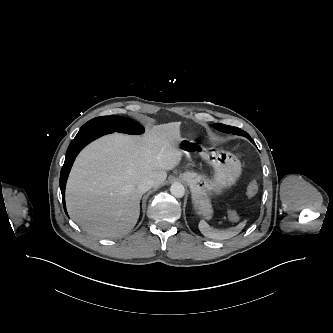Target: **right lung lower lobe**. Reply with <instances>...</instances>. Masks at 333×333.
Here are the masks:
<instances>
[{"instance_id": "98d812e1", "label": "right lung lower lobe", "mask_w": 333, "mask_h": 333, "mask_svg": "<svg viewBox=\"0 0 333 333\" xmlns=\"http://www.w3.org/2000/svg\"><path fill=\"white\" fill-rule=\"evenodd\" d=\"M111 129H88V130H83L79 131L76 137L72 140L70 143L67 152H66V158L64 165L61 170L60 174V189L63 197V204L65 208V185H66V180L69 174V171L71 169V166L75 160V157L79 153V151L87 145L89 142L93 141L94 139L108 133H112Z\"/></svg>"}]
</instances>
